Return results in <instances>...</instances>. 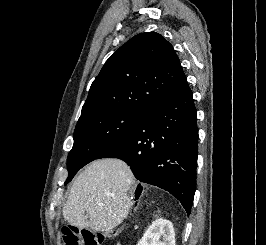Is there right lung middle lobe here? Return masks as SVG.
I'll use <instances>...</instances> for the list:
<instances>
[{
  "instance_id": "1",
  "label": "right lung middle lobe",
  "mask_w": 266,
  "mask_h": 245,
  "mask_svg": "<svg viewBox=\"0 0 266 245\" xmlns=\"http://www.w3.org/2000/svg\"><path fill=\"white\" fill-rule=\"evenodd\" d=\"M145 112L104 109L81 118L74 130V145L67 158L69 176L65 185L79 169L123 140Z\"/></svg>"
}]
</instances>
